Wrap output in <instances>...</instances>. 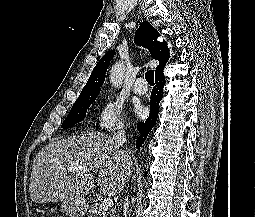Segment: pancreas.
<instances>
[{"label": "pancreas", "mask_w": 255, "mask_h": 217, "mask_svg": "<svg viewBox=\"0 0 255 217\" xmlns=\"http://www.w3.org/2000/svg\"><path fill=\"white\" fill-rule=\"evenodd\" d=\"M89 215L88 217H119L116 210L112 209L111 211H108L107 214L101 209L100 204L95 203L90 206V209L88 210Z\"/></svg>", "instance_id": "cf45deb5"}]
</instances>
